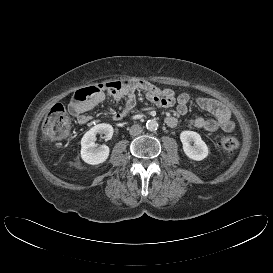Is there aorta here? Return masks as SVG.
<instances>
[{
  "label": "aorta",
  "mask_w": 273,
  "mask_h": 273,
  "mask_svg": "<svg viewBox=\"0 0 273 273\" xmlns=\"http://www.w3.org/2000/svg\"><path fill=\"white\" fill-rule=\"evenodd\" d=\"M146 128H147L149 131L157 130V128H158V123H157V121L154 120V119L148 120V121L146 122Z\"/></svg>",
  "instance_id": "762f6f07"
}]
</instances>
